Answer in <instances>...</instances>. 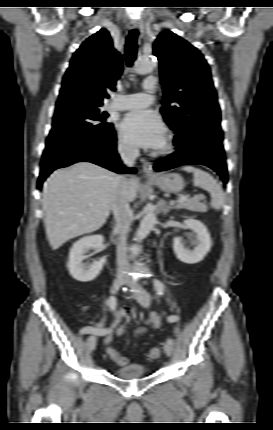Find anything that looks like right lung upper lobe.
<instances>
[{"instance_id": "cb5924a9", "label": "right lung upper lobe", "mask_w": 273, "mask_h": 430, "mask_svg": "<svg viewBox=\"0 0 273 430\" xmlns=\"http://www.w3.org/2000/svg\"><path fill=\"white\" fill-rule=\"evenodd\" d=\"M122 68V57L113 48L110 34L106 29L99 30L73 54L56 107L73 101L101 106L109 97L107 92L115 90Z\"/></svg>"}]
</instances>
